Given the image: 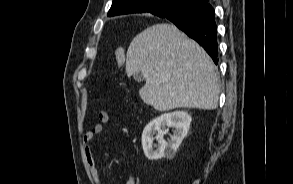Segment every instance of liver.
<instances>
[{
	"label": "liver",
	"instance_id": "1",
	"mask_svg": "<svg viewBox=\"0 0 293 184\" xmlns=\"http://www.w3.org/2000/svg\"><path fill=\"white\" fill-rule=\"evenodd\" d=\"M215 70L198 43L167 23L152 25L139 33L126 55L127 75L142 73L146 82L139 95L158 111L215 109L219 99Z\"/></svg>",
	"mask_w": 293,
	"mask_h": 184
}]
</instances>
